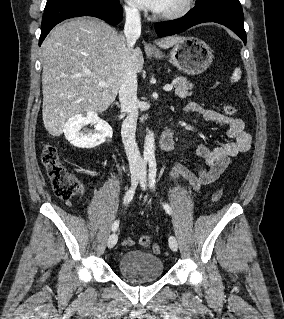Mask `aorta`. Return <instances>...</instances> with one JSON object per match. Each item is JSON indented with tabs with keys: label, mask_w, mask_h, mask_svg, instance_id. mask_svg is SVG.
<instances>
[{
	"label": "aorta",
	"mask_w": 284,
	"mask_h": 319,
	"mask_svg": "<svg viewBox=\"0 0 284 319\" xmlns=\"http://www.w3.org/2000/svg\"><path fill=\"white\" fill-rule=\"evenodd\" d=\"M143 157L145 160H153L155 159V140L154 133L152 131H148L144 140V152Z\"/></svg>",
	"instance_id": "762f6f07"
}]
</instances>
